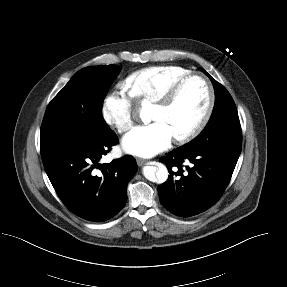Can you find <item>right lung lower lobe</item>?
<instances>
[{
    "label": "right lung lower lobe",
    "mask_w": 287,
    "mask_h": 287,
    "mask_svg": "<svg viewBox=\"0 0 287 287\" xmlns=\"http://www.w3.org/2000/svg\"><path fill=\"white\" fill-rule=\"evenodd\" d=\"M118 138L110 130L88 141L41 149L45 171L57 194L77 216L102 222L116 215L127 200V184L137 170L134 157L126 155L99 164Z\"/></svg>",
    "instance_id": "98d812e1"
}]
</instances>
